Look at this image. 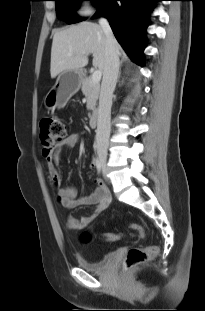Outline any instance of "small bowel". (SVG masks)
<instances>
[{
    "label": "small bowel",
    "mask_w": 205,
    "mask_h": 311,
    "mask_svg": "<svg viewBox=\"0 0 205 311\" xmlns=\"http://www.w3.org/2000/svg\"><path fill=\"white\" fill-rule=\"evenodd\" d=\"M80 135L78 133H70L65 136L63 141L57 143L47 158L48 171L47 179L51 188L55 191L57 200L64 207L72 209L81 205H95V211L86 217L76 218L70 215L67 219V228L70 230H78L90 224L101 212H103L110 203V196L105 184L96 180V189L88 196L78 198L76 190L73 187H65L62 185V174L59 169V158L67 150L78 144ZM95 160L92 162L94 166Z\"/></svg>",
    "instance_id": "1"
}]
</instances>
